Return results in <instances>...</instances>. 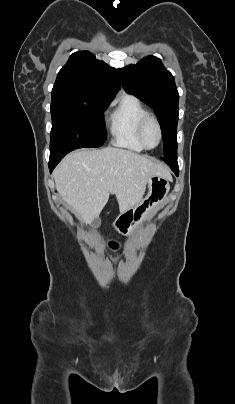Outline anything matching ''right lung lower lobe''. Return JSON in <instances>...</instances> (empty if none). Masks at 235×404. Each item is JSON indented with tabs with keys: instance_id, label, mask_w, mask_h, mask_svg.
I'll use <instances>...</instances> for the list:
<instances>
[{
	"instance_id": "98d812e1",
	"label": "right lung lower lobe",
	"mask_w": 235,
	"mask_h": 404,
	"mask_svg": "<svg viewBox=\"0 0 235 404\" xmlns=\"http://www.w3.org/2000/svg\"><path fill=\"white\" fill-rule=\"evenodd\" d=\"M78 149L77 146H61L54 149H50L49 170L52 173L55 166L61 161V159L69 152Z\"/></svg>"
}]
</instances>
